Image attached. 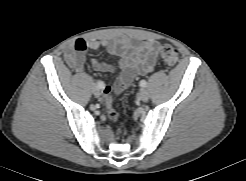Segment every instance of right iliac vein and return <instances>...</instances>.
Instances as JSON below:
<instances>
[{
	"instance_id": "obj_1",
	"label": "right iliac vein",
	"mask_w": 246,
	"mask_h": 181,
	"mask_svg": "<svg viewBox=\"0 0 246 181\" xmlns=\"http://www.w3.org/2000/svg\"><path fill=\"white\" fill-rule=\"evenodd\" d=\"M93 93H94L95 96H99L100 95V89L98 87H95L93 89Z\"/></svg>"
}]
</instances>
